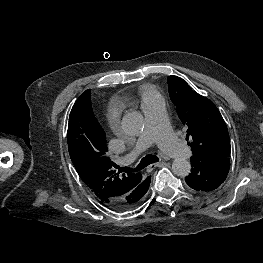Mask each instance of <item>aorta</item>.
<instances>
[{"label":"aorta","mask_w":263,"mask_h":263,"mask_svg":"<svg viewBox=\"0 0 263 263\" xmlns=\"http://www.w3.org/2000/svg\"><path fill=\"white\" fill-rule=\"evenodd\" d=\"M123 131L132 137L139 136L144 129V118L136 111L127 112L122 118ZM173 173L180 177L188 176L191 171V164L184 158L175 159L172 163Z\"/></svg>","instance_id":"1"}]
</instances>
